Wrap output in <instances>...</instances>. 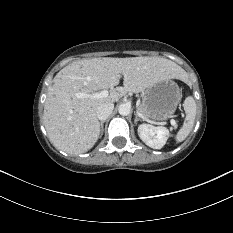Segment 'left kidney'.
I'll use <instances>...</instances> for the list:
<instances>
[{
  "mask_svg": "<svg viewBox=\"0 0 233 233\" xmlns=\"http://www.w3.org/2000/svg\"><path fill=\"white\" fill-rule=\"evenodd\" d=\"M138 135L147 146L153 149H161L169 138V130L161 126L141 124L138 127Z\"/></svg>",
  "mask_w": 233,
  "mask_h": 233,
  "instance_id": "1",
  "label": "left kidney"
}]
</instances>
